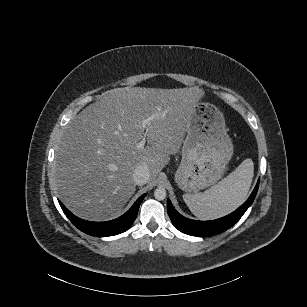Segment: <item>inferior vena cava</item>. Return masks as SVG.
I'll return each mask as SVG.
<instances>
[{"mask_svg": "<svg viewBox=\"0 0 307 307\" xmlns=\"http://www.w3.org/2000/svg\"><path fill=\"white\" fill-rule=\"evenodd\" d=\"M132 176L136 185H143L150 179V170L148 169L147 165L143 164L136 167Z\"/></svg>", "mask_w": 307, "mask_h": 307, "instance_id": "1", "label": "inferior vena cava"}]
</instances>
